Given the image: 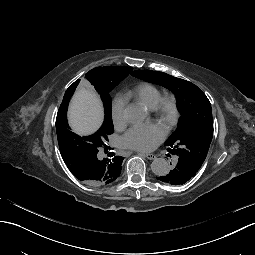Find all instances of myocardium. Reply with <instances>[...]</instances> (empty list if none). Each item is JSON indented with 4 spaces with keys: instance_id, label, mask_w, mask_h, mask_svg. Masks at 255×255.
I'll use <instances>...</instances> for the list:
<instances>
[{
    "instance_id": "myocardium-1",
    "label": "myocardium",
    "mask_w": 255,
    "mask_h": 255,
    "mask_svg": "<svg viewBox=\"0 0 255 255\" xmlns=\"http://www.w3.org/2000/svg\"><path fill=\"white\" fill-rule=\"evenodd\" d=\"M156 123L163 128L165 134H169L175 125L177 106L172 95H162L155 108Z\"/></svg>"
}]
</instances>
